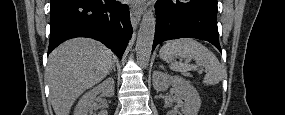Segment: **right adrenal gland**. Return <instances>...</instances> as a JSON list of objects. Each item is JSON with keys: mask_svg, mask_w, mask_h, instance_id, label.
Returning a JSON list of instances; mask_svg holds the SVG:
<instances>
[{"mask_svg": "<svg viewBox=\"0 0 285 115\" xmlns=\"http://www.w3.org/2000/svg\"><path fill=\"white\" fill-rule=\"evenodd\" d=\"M112 70H114V72H116L115 64H114V63H113V66H112V69L110 70V72H111ZM110 72H109V74H110Z\"/></svg>", "mask_w": 285, "mask_h": 115, "instance_id": "2a0ac1e0", "label": "right adrenal gland"}]
</instances>
